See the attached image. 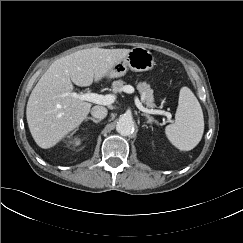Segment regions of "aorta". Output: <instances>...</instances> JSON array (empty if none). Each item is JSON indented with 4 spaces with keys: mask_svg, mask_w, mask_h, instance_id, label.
Returning a JSON list of instances; mask_svg holds the SVG:
<instances>
[{
    "mask_svg": "<svg viewBox=\"0 0 243 243\" xmlns=\"http://www.w3.org/2000/svg\"><path fill=\"white\" fill-rule=\"evenodd\" d=\"M116 130L121 135H129L134 130V121L130 116H121L117 122Z\"/></svg>",
    "mask_w": 243,
    "mask_h": 243,
    "instance_id": "aorta-1",
    "label": "aorta"
}]
</instances>
